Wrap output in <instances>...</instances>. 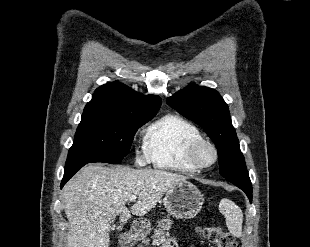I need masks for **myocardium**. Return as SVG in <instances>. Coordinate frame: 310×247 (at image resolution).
<instances>
[{
	"instance_id": "f54148a6",
	"label": "myocardium",
	"mask_w": 310,
	"mask_h": 247,
	"mask_svg": "<svg viewBox=\"0 0 310 247\" xmlns=\"http://www.w3.org/2000/svg\"><path fill=\"white\" fill-rule=\"evenodd\" d=\"M204 146L209 147L212 152H213V161L209 164H202L198 161V152L200 151V149ZM186 157L188 162L190 163L191 166H193L196 170H203V169H208L212 166H214L217 161H218V150L216 148V146L209 140L204 139V138H200V139H196L194 141H192L188 148H187V152H186Z\"/></svg>"
}]
</instances>
